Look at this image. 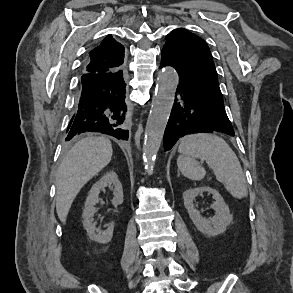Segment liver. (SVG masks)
<instances>
[{
  "label": "liver",
  "mask_w": 293,
  "mask_h": 293,
  "mask_svg": "<svg viewBox=\"0 0 293 293\" xmlns=\"http://www.w3.org/2000/svg\"><path fill=\"white\" fill-rule=\"evenodd\" d=\"M110 140L87 137L66 154L56 173V211L65 223L71 205L82 187L111 161Z\"/></svg>",
  "instance_id": "1"
}]
</instances>
